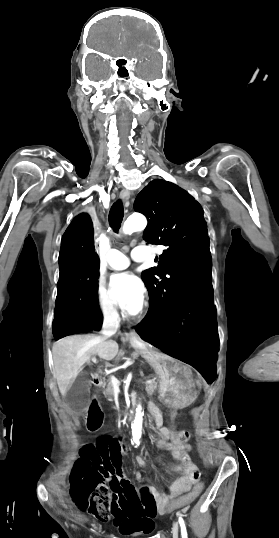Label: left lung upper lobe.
<instances>
[{
	"instance_id": "obj_1",
	"label": "left lung upper lobe",
	"mask_w": 279,
	"mask_h": 538,
	"mask_svg": "<svg viewBox=\"0 0 279 538\" xmlns=\"http://www.w3.org/2000/svg\"><path fill=\"white\" fill-rule=\"evenodd\" d=\"M148 225L144 240L164 245L157 267L142 273L151 306L144 321L160 320L187 293L212 283L209 237L199 203L186 191L164 180L150 182L134 202Z\"/></svg>"
}]
</instances>
